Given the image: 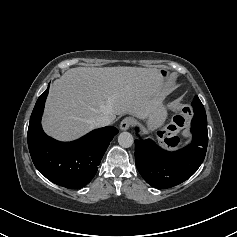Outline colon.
Listing matches in <instances>:
<instances>
[{"instance_id": "1", "label": "colon", "mask_w": 237, "mask_h": 237, "mask_svg": "<svg viewBox=\"0 0 237 237\" xmlns=\"http://www.w3.org/2000/svg\"><path fill=\"white\" fill-rule=\"evenodd\" d=\"M189 124V114L186 112L176 115L165 134V140L169 142H178L179 138L177 133L187 128Z\"/></svg>"}]
</instances>
